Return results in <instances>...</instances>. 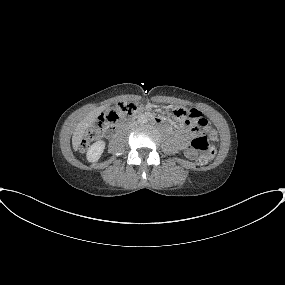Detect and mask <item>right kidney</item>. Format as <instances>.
I'll return each mask as SVG.
<instances>
[{
    "instance_id": "obj_1",
    "label": "right kidney",
    "mask_w": 285,
    "mask_h": 285,
    "mask_svg": "<svg viewBox=\"0 0 285 285\" xmlns=\"http://www.w3.org/2000/svg\"><path fill=\"white\" fill-rule=\"evenodd\" d=\"M105 149V142L100 140L92 144L87 151V160L89 162H96L101 157Z\"/></svg>"
}]
</instances>
